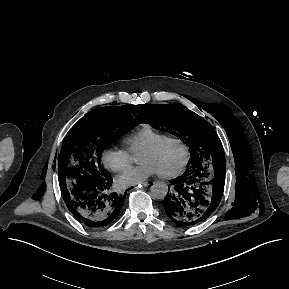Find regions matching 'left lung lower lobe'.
Returning <instances> with one entry per match:
<instances>
[{
    "mask_svg": "<svg viewBox=\"0 0 289 289\" xmlns=\"http://www.w3.org/2000/svg\"><path fill=\"white\" fill-rule=\"evenodd\" d=\"M226 163L223 160L212 170H186L171 180L172 190L163 207L166 215L181 227L206 220L218 207L224 189Z\"/></svg>",
    "mask_w": 289,
    "mask_h": 289,
    "instance_id": "1",
    "label": "left lung lower lobe"
}]
</instances>
